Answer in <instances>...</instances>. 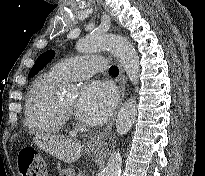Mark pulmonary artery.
<instances>
[{"label":"pulmonary artery","mask_w":205,"mask_h":176,"mask_svg":"<svg viewBox=\"0 0 205 176\" xmlns=\"http://www.w3.org/2000/svg\"><path fill=\"white\" fill-rule=\"evenodd\" d=\"M103 56H75L56 63L52 72L64 82L89 77L104 69Z\"/></svg>","instance_id":"pulmonary-artery-1"}]
</instances>
